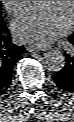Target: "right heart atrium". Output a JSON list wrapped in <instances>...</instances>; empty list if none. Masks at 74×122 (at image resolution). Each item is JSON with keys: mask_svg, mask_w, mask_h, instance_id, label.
<instances>
[{"mask_svg": "<svg viewBox=\"0 0 74 122\" xmlns=\"http://www.w3.org/2000/svg\"><path fill=\"white\" fill-rule=\"evenodd\" d=\"M2 4L9 14L15 15L22 10L25 1H2Z\"/></svg>", "mask_w": 74, "mask_h": 122, "instance_id": "right-heart-atrium-1", "label": "right heart atrium"}]
</instances>
